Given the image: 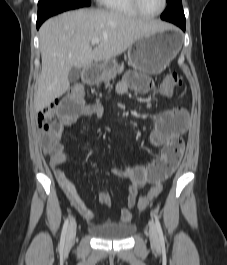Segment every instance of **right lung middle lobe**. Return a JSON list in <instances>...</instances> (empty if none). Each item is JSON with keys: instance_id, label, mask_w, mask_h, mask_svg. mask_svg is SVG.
Listing matches in <instances>:
<instances>
[{"instance_id": "dd1d6c3e", "label": "right lung middle lobe", "mask_w": 227, "mask_h": 265, "mask_svg": "<svg viewBox=\"0 0 227 265\" xmlns=\"http://www.w3.org/2000/svg\"><path fill=\"white\" fill-rule=\"evenodd\" d=\"M90 0H39L37 22L66 10L89 6Z\"/></svg>"}]
</instances>
